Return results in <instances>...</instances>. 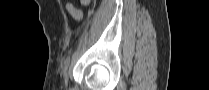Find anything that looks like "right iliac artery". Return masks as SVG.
I'll return each mask as SVG.
<instances>
[{"label":"right iliac artery","mask_w":209,"mask_h":90,"mask_svg":"<svg viewBox=\"0 0 209 90\" xmlns=\"http://www.w3.org/2000/svg\"><path fill=\"white\" fill-rule=\"evenodd\" d=\"M70 62V57H68L66 60H65V64L68 65Z\"/></svg>","instance_id":"1"}]
</instances>
